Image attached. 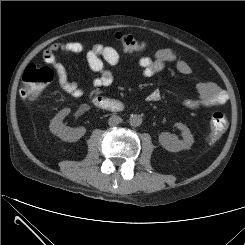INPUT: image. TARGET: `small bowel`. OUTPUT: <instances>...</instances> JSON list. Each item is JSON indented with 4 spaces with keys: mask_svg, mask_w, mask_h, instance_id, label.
I'll list each match as a JSON object with an SVG mask.
<instances>
[{
    "mask_svg": "<svg viewBox=\"0 0 245 245\" xmlns=\"http://www.w3.org/2000/svg\"><path fill=\"white\" fill-rule=\"evenodd\" d=\"M86 51L85 46L80 42H57L49 46L43 52V60L51 65L56 73L57 82L62 90L73 97L79 98L84 95V90L68 76L65 65L58 59L56 53L68 52L81 54ZM87 63L91 70L98 73L92 84L95 88H104L111 85L113 81L112 72L105 64L117 65L120 62L119 53L110 46L101 44L93 45L86 51ZM138 67L144 78H150L162 71L168 65H173L183 75L191 74L190 65L181 59L175 52L169 49H159L151 56L142 57L138 60ZM198 96L183 102L186 109L210 108L223 104L227 100L226 93L212 82H200L197 85ZM159 99V94L153 92L149 95L150 101Z\"/></svg>",
    "mask_w": 245,
    "mask_h": 245,
    "instance_id": "obj_1",
    "label": "small bowel"
}]
</instances>
